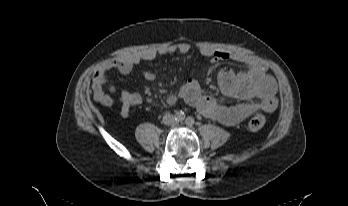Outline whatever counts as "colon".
I'll return each mask as SVG.
<instances>
[{
    "label": "colon",
    "mask_w": 348,
    "mask_h": 206,
    "mask_svg": "<svg viewBox=\"0 0 348 206\" xmlns=\"http://www.w3.org/2000/svg\"><path fill=\"white\" fill-rule=\"evenodd\" d=\"M105 78H106L105 72H100L98 74V79L101 82H105ZM265 124H266V118L262 114H255L251 116L250 119L248 120V128L251 131L260 130L261 128L264 127Z\"/></svg>",
    "instance_id": "obj_1"
}]
</instances>
